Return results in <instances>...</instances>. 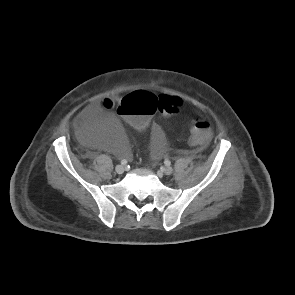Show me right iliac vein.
<instances>
[{"label": "right iliac vein", "mask_w": 295, "mask_h": 295, "mask_svg": "<svg viewBox=\"0 0 295 295\" xmlns=\"http://www.w3.org/2000/svg\"><path fill=\"white\" fill-rule=\"evenodd\" d=\"M124 170H125V167L123 165H117L115 167V171L117 174H122L124 172Z\"/></svg>", "instance_id": "right-iliac-vein-1"}]
</instances>
